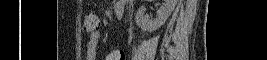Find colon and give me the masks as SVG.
<instances>
[{
  "label": "colon",
  "mask_w": 267,
  "mask_h": 60,
  "mask_svg": "<svg viewBox=\"0 0 267 60\" xmlns=\"http://www.w3.org/2000/svg\"><path fill=\"white\" fill-rule=\"evenodd\" d=\"M84 23L87 31L94 32L99 27L100 20L95 12L89 11L84 16Z\"/></svg>",
  "instance_id": "1"
}]
</instances>
